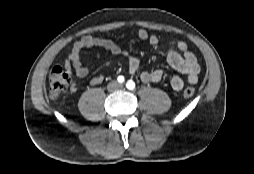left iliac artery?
Returning <instances> with one entry per match:
<instances>
[{
	"mask_svg": "<svg viewBox=\"0 0 254 174\" xmlns=\"http://www.w3.org/2000/svg\"><path fill=\"white\" fill-rule=\"evenodd\" d=\"M126 87L130 90H133L135 88V83L132 80H129L126 84Z\"/></svg>",
	"mask_w": 254,
	"mask_h": 174,
	"instance_id": "left-iliac-artery-1",
	"label": "left iliac artery"
}]
</instances>
